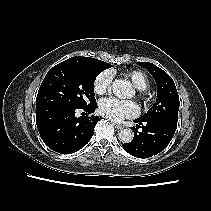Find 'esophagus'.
<instances>
[{
  "instance_id": "34e87169",
  "label": "esophagus",
  "mask_w": 211,
  "mask_h": 211,
  "mask_svg": "<svg viewBox=\"0 0 211 211\" xmlns=\"http://www.w3.org/2000/svg\"><path fill=\"white\" fill-rule=\"evenodd\" d=\"M113 125H114L115 128H117V129H122V128H124V125H122V124L113 123Z\"/></svg>"
}]
</instances>
